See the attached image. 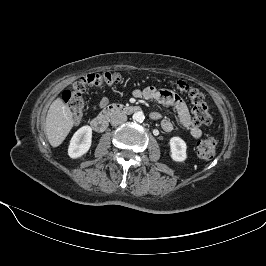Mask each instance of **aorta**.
I'll list each match as a JSON object with an SVG mask.
<instances>
[{"label": "aorta", "instance_id": "762f6f07", "mask_svg": "<svg viewBox=\"0 0 266 266\" xmlns=\"http://www.w3.org/2000/svg\"><path fill=\"white\" fill-rule=\"evenodd\" d=\"M132 118L135 122L142 123L145 119V116H144L143 112L138 111V112H135L133 114Z\"/></svg>", "mask_w": 266, "mask_h": 266}]
</instances>
